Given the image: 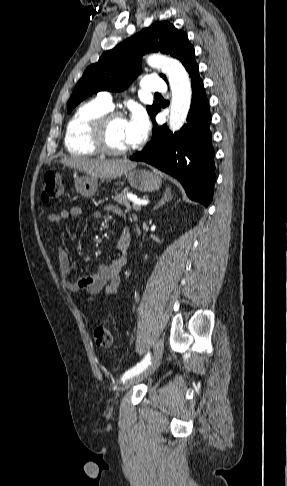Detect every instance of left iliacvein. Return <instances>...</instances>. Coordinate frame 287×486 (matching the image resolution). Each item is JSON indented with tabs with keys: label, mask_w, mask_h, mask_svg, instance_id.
<instances>
[{
	"label": "left iliac vein",
	"mask_w": 287,
	"mask_h": 486,
	"mask_svg": "<svg viewBox=\"0 0 287 486\" xmlns=\"http://www.w3.org/2000/svg\"><path fill=\"white\" fill-rule=\"evenodd\" d=\"M162 354H163V343L161 340H157L154 345V356L150 365L141 373L127 379L126 382L124 383L123 390L124 391L128 390L134 384L139 383L140 381H142L143 379L151 375L158 367L162 358Z\"/></svg>",
	"instance_id": "obj_1"
}]
</instances>
